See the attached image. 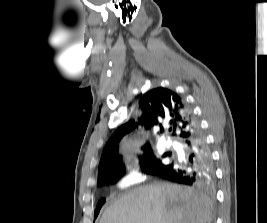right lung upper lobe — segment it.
I'll list each match as a JSON object with an SVG mask.
<instances>
[{
    "label": "right lung upper lobe",
    "mask_w": 267,
    "mask_h": 223,
    "mask_svg": "<svg viewBox=\"0 0 267 223\" xmlns=\"http://www.w3.org/2000/svg\"><path fill=\"white\" fill-rule=\"evenodd\" d=\"M139 105L142 111L139 124L144 125L147 130L154 127H160L163 130V127H166L183 142L195 134L194 128L197 122L176 92L163 87L152 89L141 97ZM137 127L138 123L130 120L111 136L101 156L98 178L111 168L123 167L122 158L116 153L117 145L125 135ZM142 149L144 156L152 153L149 143Z\"/></svg>",
    "instance_id": "1"
}]
</instances>
